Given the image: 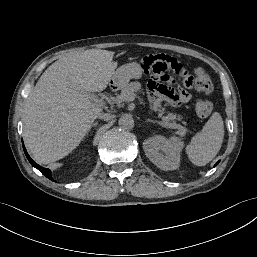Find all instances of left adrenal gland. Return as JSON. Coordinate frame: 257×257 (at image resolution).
<instances>
[{
  "instance_id": "a2214340",
  "label": "left adrenal gland",
  "mask_w": 257,
  "mask_h": 257,
  "mask_svg": "<svg viewBox=\"0 0 257 257\" xmlns=\"http://www.w3.org/2000/svg\"><path fill=\"white\" fill-rule=\"evenodd\" d=\"M145 122L155 123V121L151 119H147Z\"/></svg>"
}]
</instances>
